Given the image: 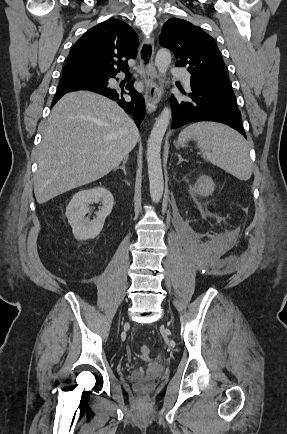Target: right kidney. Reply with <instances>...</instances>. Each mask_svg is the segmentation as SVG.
Masks as SVG:
<instances>
[{
  "label": "right kidney",
  "mask_w": 287,
  "mask_h": 434,
  "mask_svg": "<svg viewBox=\"0 0 287 434\" xmlns=\"http://www.w3.org/2000/svg\"><path fill=\"white\" fill-rule=\"evenodd\" d=\"M101 202L102 207L96 213V218H86L89 212L88 204ZM114 205V198L109 190L96 187L76 193L66 208V217L72 227L77 240L93 239L101 232L107 216L110 215Z\"/></svg>",
  "instance_id": "obj_1"
}]
</instances>
